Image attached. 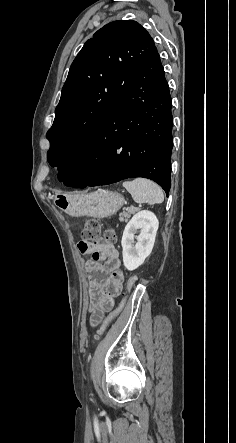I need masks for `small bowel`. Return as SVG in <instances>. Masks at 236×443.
<instances>
[{"label": "small bowel", "mask_w": 236, "mask_h": 443, "mask_svg": "<svg viewBox=\"0 0 236 443\" xmlns=\"http://www.w3.org/2000/svg\"><path fill=\"white\" fill-rule=\"evenodd\" d=\"M82 253H90L92 259L86 262L90 276L89 298L91 302V323L97 325L105 312L113 309L116 296L121 292L125 278L121 269L119 252L108 243H84Z\"/></svg>", "instance_id": "1"}]
</instances>
